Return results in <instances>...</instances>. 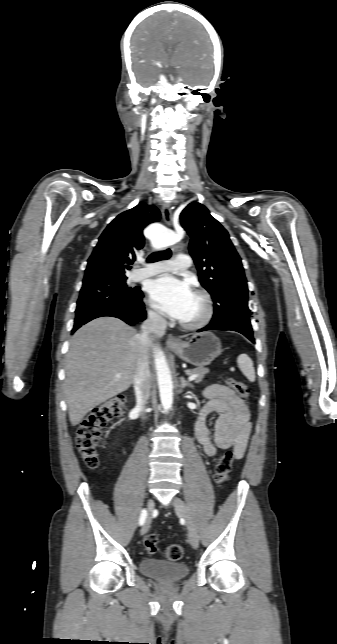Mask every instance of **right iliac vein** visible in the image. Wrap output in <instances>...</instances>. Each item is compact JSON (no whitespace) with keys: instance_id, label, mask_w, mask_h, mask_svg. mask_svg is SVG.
Listing matches in <instances>:
<instances>
[{"instance_id":"right-iliac-vein-1","label":"right iliac vein","mask_w":337,"mask_h":644,"mask_svg":"<svg viewBox=\"0 0 337 644\" xmlns=\"http://www.w3.org/2000/svg\"><path fill=\"white\" fill-rule=\"evenodd\" d=\"M153 507H154V502H153L152 499H149L148 502H147V509H148L149 513L152 512ZM150 519H151L150 516H148L146 521H145V524H144V526H143V528L141 530V534H145V533L148 532L149 527H150V522H151Z\"/></svg>"}]
</instances>
